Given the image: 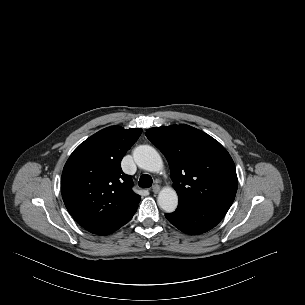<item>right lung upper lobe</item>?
Instances as JSON below:
<instances>
[{"label":"right lung upper lobe","instance_id":"cb5924a9","mask_svg":"<svg viewBox=\"0 0 305 305\" xmlns=\"http://www.w3.org/2000/svg\"><path fill=\"white\" fill-rule=\"evenodd\" d=\"M142 129L111 126L81 143L67 160L61 178L64 204L93 234L107 235L128 222L141 197L120 162Z\"/></svg>","mask_w":305,"mask_h":305}]
</instances>
